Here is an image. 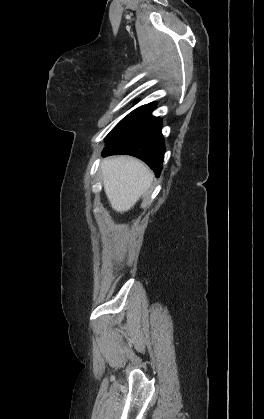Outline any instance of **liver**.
<instances>
[{
    "label": "liver",
    "instance_id": "1",
    "mask_svg": "<svg viewBox=\"0 0 264 419\" xmlns=\"http://www.w3.org/2000/svg\"><path fill=\"white\" fill-rule=\"evenodd\" d=\"M104 191L117 212L130 210L150 187L152 171L130 156L109 157L101 163Z\"/></svg>",
    "mask_w": 264,
    "mask_h": 419
}]
</instances>
